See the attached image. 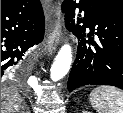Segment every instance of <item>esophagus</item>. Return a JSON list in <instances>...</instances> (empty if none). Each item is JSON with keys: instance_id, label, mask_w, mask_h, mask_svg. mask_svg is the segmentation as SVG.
I'll list each match as a JSON object with an SVG mask.
<instances>
[{"instance_id": "obj_1", "label": "esophagus", "mask_w": 123, "mask_h": 113, "mask_svg": "<svg viewBox=\"0 0 123 113\" xmlns=\"http://www.w3.org/2000/svg\"><path fill=\"white\" fill-rule=\"evenodd\" d=\"M63 36V17L60 7L56 5L54 7V20L53 24L48 30L45 38V51L49 55H52L59 45Z\"/></svg>"}]
</instances>
